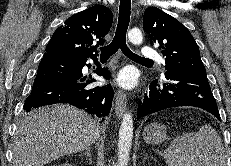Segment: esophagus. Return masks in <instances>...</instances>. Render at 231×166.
<instances>
[{
  "mask_svg": "<svg viewBox=\"0 0 231 166\" xmlns=\"http://www.w3.org/2000/svg\"><path fill=\"white\" fill-rule=\"evenodd\" d=\"M126 104V94L122 90L118 89L115 94V114L118 119H120L123 116L126 110Z\"/></svg>",
  "mask_w": 231,
  "mask_h": 166,
  "instance_id": "esophagus-1",
  "label": "esophagus"
}]
</instances>
